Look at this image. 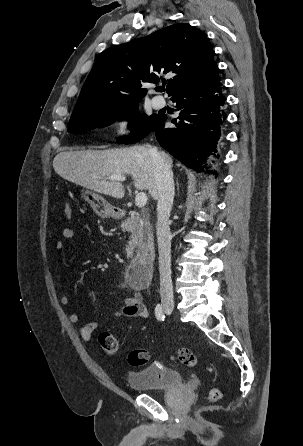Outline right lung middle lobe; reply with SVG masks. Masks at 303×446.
<instances>
[{"mask_svg":"<svg viewBox=\"0 0 303 446\" xmlns=\"http://www.w3.org/2000/svg\"><path fill=\"white\" fill-rule=\"evenodd\" d=\"M138 102L123 106H102L87 113L71 116L68 131L77 134L127 118L132 121V134L126 139L119 140V142L135 143L151 133L161 117L159 114H153L149 117L145 114L140 116Z\"/></svg>","mask_w":303,"mask_h":446,"instance_id":"dd1d6c3e","label":"right lung middle lobe"}]
</instances>
